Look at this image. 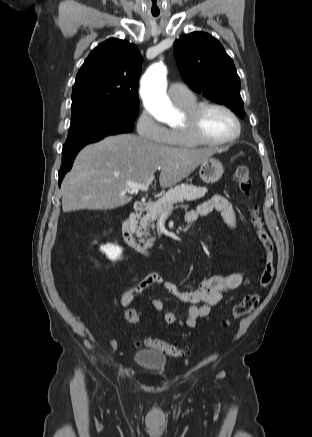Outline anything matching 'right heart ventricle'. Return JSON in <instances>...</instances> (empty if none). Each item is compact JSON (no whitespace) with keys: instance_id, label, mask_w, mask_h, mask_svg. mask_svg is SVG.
<instances>
[{"instance_id":"1","label":"right heart ventricle","mask_w":312,"mask_h":437,"mask_svg":"<svg viewBox=\"0 0 312 437\" xmlns=\"http://www.w3.org/2000/svg\"><path fill=\"white\" fill-rule=\"evenodd\" d=\"M197 105L198 102L194 96H192V98L186 102L176 104V106L182 109L184 112L192 109ZM165 144L183 148H189L198 145L196 142L192 141L188 137V135L182 130L181 127L169 130V138Z\"/></svg>"}]
</instances>
